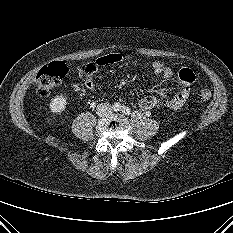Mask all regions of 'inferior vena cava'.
I'll return each instance as SVG.
<instances>
[{
	"instance_id": "1",
	"label": "inferior vena cava",
	"mask_w": 233,
	"mask_h": 233,
	"mask_svg": "<svg viewBox=\"0 0 233 233\" xmlns=\"http://www.w3.org/2000/svg\"><path fill=\"white\" fill-rule=\"evenodd\" d=\"M112 113L111 106L107 103H101L96 107V114L100 117L108 116Z\"/></svg>"
}]
</instances>
